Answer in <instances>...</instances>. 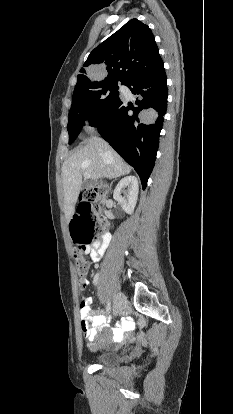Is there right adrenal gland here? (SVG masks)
<instances>
[{"instance_id":"1","label":"right adrenal gland","mask_w":233,"mask_h":414,"mask_svg":"<svg viewBox=\"0 0 233 414\" xmlns=\"http://www.w3.org/2000/svg\"><path fill=\"white\" fill-rule=\"evenodd\" d=\"M115 180H116V179H115ZM115 180H113V181L111 182V184H110V189H111V186H112V184H113V182H114Z\"/></svg>"}]
</instances>
